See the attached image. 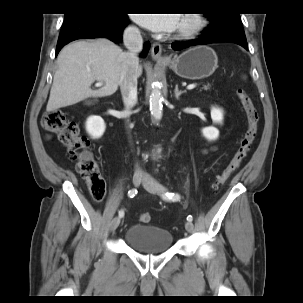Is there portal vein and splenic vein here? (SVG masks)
I'll return each mask as SVG.
<instances>
[{"instance_id":"18ae733b","label":"portal vein and splenic vein","mask_w":303,"mask_h":303,"mask_svg":"<svg viewBox=\"0 0 303 303\" xmlns=\"http://www.w3.org/2000/svg\"><path fill=\"white\" fill-rule=\"evenodd\" d=\"M98 80V83L96 84V86H101L102 85V82L99 80V79H97ZM196 87V84H191V85H188L187 86V89L188 90H192V89H194Z\"/></svg>"}]
</instances>
